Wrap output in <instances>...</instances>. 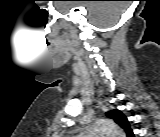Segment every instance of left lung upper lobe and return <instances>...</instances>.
Returning a JSON list of instances; mask_svg holds the SVG:
<instances>
[{"label": "left lung upper lobe", "mask_w": 160, "mask_h": 137, "mask_svg": "<svg viewBox=\"0 0 160 137\" xmlns=\"http://www.w3.org/2000/svg\"><path fill=\"white\" fill-rule=\"evenodd\" d=\"M110 118H113L114 121L122 128L126 133L132 131L129 127V122L127 118L119 110H112L106 113Z\"/></svg>", "instance_id": "1"}]
</instances>
